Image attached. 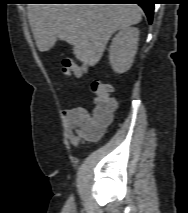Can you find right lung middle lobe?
Wrapping results in <instances>:
<instances>
[{"instance_id":"dd1d6c3e","label":"right lung middle lobe","mask_w":188,"mask_h":213,"mask_svg":"<svg viewBox=\"0 0 188 213\" xmlns=\"http://www.w3.org/2000/svg\"><path fill=\"white\" fill-rule=\"evenodd\" d=\"M46 0H31V2H44Z\"/></svg>"}]
</instances>
